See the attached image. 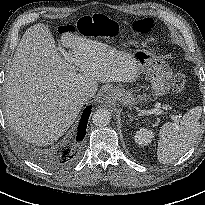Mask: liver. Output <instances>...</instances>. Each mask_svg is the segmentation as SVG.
<instances>
[{"label":"liver","instance_id":"1","mask_svg":"<svg viewBox=\"0 0 205 205\" xmlns=\"http://www.w3.org/2000/svg\"><path fill=\"white\" fill-rule=\"evenodd\" d=\"M59 53L47 25L30 27L20 40L5 78V116L23 139L38 146L52 144L74 123L83 104L79 91L95 95L98 82H132L139 74L124 54L108 45L65 32ZM91 96V97H92Z\"/></svg>","mask_w":205,"mask_h":205}]
</instances>
